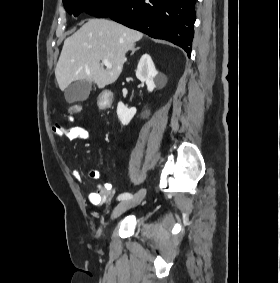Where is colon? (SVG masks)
I'll return each instance as SVG.
<instances>
[{
  "label": "colon",
  "mask_w": 280,
  "mask_h": 283,
  "mask_svg": "<svg viewBox=\"0 0 280 283\" xmlns=\"http://www.w3.org/2000/svg\"><path fill=\"white\" fill-rule=\"evenodd\" d=\"M112 101V95L110 93H102L100 96V105L101 106H106L107 104H109ZM80 110L79 106H76L75 103L71 104V107L68 108L69 111V115L73 116L74 112H78ZM103 112H107L108 108L107 107H103L102 108Z\"/></svg>",
  "instance_id": "obj_1"
}]
</instances>
